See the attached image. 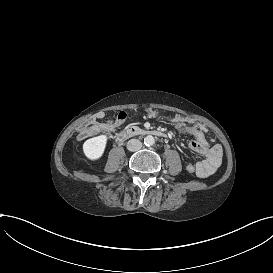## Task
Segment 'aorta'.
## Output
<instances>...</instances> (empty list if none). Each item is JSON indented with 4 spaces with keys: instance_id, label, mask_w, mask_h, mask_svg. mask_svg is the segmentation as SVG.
Instances as JSON below:
<instances>
[{
    "instance_id": "obj_1",
    "label": "aorta",
    "mask_w": 273,
    "mask_h": 273,
    "mask_svg": "<svg viewBox=\"0 0 273 273\" xmlns=\"http://www.w3.org/2000/svg\"><path fill=\"white\" fill-rule=\"evenodd\" d=\"M155 143V139L152 135H148L144 138V144L146 146H152Z\"/></svg>"
}]
</instances>
